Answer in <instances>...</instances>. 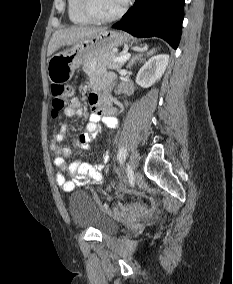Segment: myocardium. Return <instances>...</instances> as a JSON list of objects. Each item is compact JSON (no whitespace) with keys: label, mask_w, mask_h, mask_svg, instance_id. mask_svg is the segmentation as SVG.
I'll use <instances>...</instances> for the list:
<instances>
[{"label":"myocardium","mask_w":233,"mask_h":284,"mask_svg":"<svg viewBox=\"0 0 233 284\" xmlns=\"http://www.w3.org/2000/svg\"><path fill=\"white\" fill-rule=\"evenodd\" d=\"M81 8L84 14L93 22L97 23H109L118 20L127 9V1H125L122 7L113 15L103 16L97 13L93 6V0H81Z\"/></svg>","instance_id":"f54148a6"}]
</instances>
